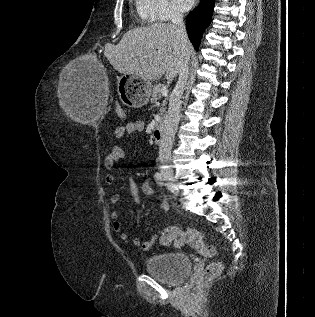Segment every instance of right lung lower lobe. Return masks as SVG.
<instances>
[{
    "label": "right lung lower lobe",
    "mask_w": 315,
    "mask_h": 317,
    "mask_svg": "<svg viewBox=\"0 0 315 317\" xmlns=\"http://www.w3.org/2000/svg\"><path fill=\"white\" fill-rule=\"evenodd\" d=\"M214 0H201L200 5L188 14L186 29L188 37L196 50L200 45L203 31L210 23Z\"/></svg>",
    "instance_id": "obj_1"
}]
</instances>
